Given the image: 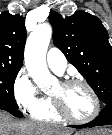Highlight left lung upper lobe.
Wrapping results in <instances>:
<instances>
[{
    "mask_svg": "<svg viewBox=\"0 0 112 135\" xmlns=\"http://www.w3.org/2000/svg\"><path fill=\"white\" fill-rule=\"evenodd\" d=\"M53 42L74 65L99 99L112 104V47L108 33L96 16L77 11L63 18L51 12Z\"/></svg>",
    "mask_w": 112,
    "mask_h": 135,
    "instance_id": "5c2ea615",
    "label": "left lung upper lobe"
}]
</instances>
